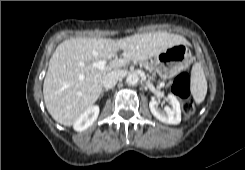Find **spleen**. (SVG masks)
Returning <instances> with one entry per match:
<instances>
[{"label": "spleen", "instance_id": "3e777b00", "mask_svg": "<svg viewBox=\"0 0 245 170\" xmlns=\"http://www.w3.org/2000/svg\"><path fill=\"white\" fill-rule=\"evenodd\" d=\"M190 88L196 104L202 103L207 93V80L200 63H195L192 67Z\"/></svg>", "mask_w": 245, "mask_h": 170}]
</instances>
